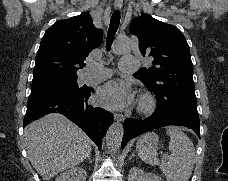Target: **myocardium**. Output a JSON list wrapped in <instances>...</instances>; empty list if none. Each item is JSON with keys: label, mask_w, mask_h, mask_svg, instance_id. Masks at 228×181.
Returning a JSON list of instances; mask_svg holds the SVG:
<instances>
[{"label": "myocardium", "mask_w": 228, "mask_h": 181, "mask_svg": "<svg viewBox=\"0 0 228 181\" xmlns=\"http://www.w3.org/2000/svg\"><path fill=\"white\" fill-rule=\"evenodd\" d=\"M138 106L142 113L150 114L154 111L156 102L153 96L144 94L140 96Z\"/></svg>", "instance_id": "f54148a6"}]
</instances>
